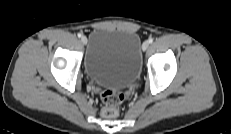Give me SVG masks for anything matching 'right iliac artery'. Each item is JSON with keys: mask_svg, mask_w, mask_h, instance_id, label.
<instances>
[{"mask_svg": "<svg viewBox=\"0 0 231 134\" xmlns=\"http://www.w3.org/2000/svg\"><path fill=\"white\" fill-rule=\"evenodd\" d=\"M77 36L80 38V37H82V34H81V33H78Z\"/></svg>", "mask_w": 231, "mask_h": 134, "instance_id": "1", "label": "right iliac artery"}]
</instances>
